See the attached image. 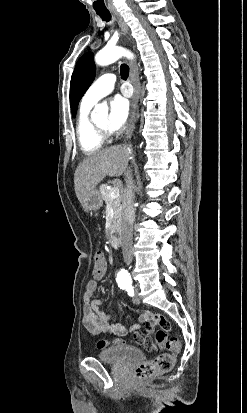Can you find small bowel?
<instances>
[{"label":"small bowel","mask_w":247,"mask_h":413,"mask_svg":"<svg viewBox=\"0 0 247 413\" xmlns=\"http://www.w3.org/2000/svg\"><path fill=\"white\" fill-rule=\"evenodd\" d=\"M95 256H97V253ZM93 281L86 283L83 294V325L91 337H98L104 333H111L116 336L135 333L134 340L138 348L151 349L154 336L153 324H159L161 331L172 330V323L166 322L164 315H153L150 311L143 312L139 316L138 321L130 325H125L120 319L111 322L112 315L101 311L103 302L98 299H92L97 291V283L103 281V276L95 274Z\"/></svg>","instance_id":"c3829d8e"}]
</instances>
